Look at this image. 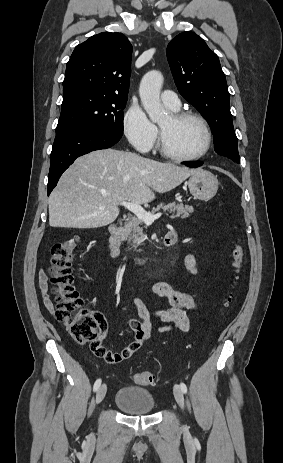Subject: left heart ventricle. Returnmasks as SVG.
Wrapping results in <instances>:
<instances>
[{"label": "left heart ventricle", "mask_w": 283, "mask_h": 463, "mask_svg": "<svg viewBox=\"0 0 283 463\" xmlns=\"http://www.w3.org/2000/svg\"><path fill=\"white\" fill-rule=\"evenodd\" d=\"M159 128L167 149L177 155L192 156L204 147V129L194 119L174 122L169 115L159 122Z\"/></svg>", "instance_id": "left-heart-ventricle-1"}]
</instances>
